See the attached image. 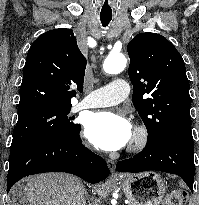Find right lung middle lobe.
I'll use <instances>...</instances> for the list:
<instances>
[{
	"label": "right lung middle lobe",
	"mask_w": 199,
	"mask_h": 205,
	"mask_svg": "<svg viewBox=\"0 0 199 205\" xmlns=\"http://www.w3.org/2000/svg\"><path fill=\"white\" fill-rule=\"evenodd\" d=\"M72 105L43 106L19 112L10 150L58 135H74L81 126L71 122Z\"/></svg>",
	"instance_id": "obj_1"
}]
</instances>
